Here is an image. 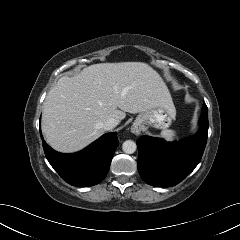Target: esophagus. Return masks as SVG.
<instances>
[{"label": "esophagus", "mask_w": 240, "mask_h": 240, "mask_svg": "<svg viewBox=\"0 0 240 240\" xmlns=\"http://www.w3.org/2000/svg\"><path fill=\"white\" fill-rule=\"evenodd\" d=\"M131 131L134 134H139L140 133V124L139 123H134V125L131 127Z\"/></svg>", "instance_id": "esophagus-1"}]
</instances>
